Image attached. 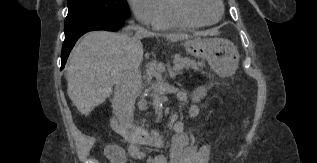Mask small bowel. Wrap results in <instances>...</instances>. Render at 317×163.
I'll return each mask as SVG.
<instances>
[{
    "label": "small bowel",
    "instance_id": "c3829d8e",
    "mask_svg": "<svg viewBox=\"0 0 317 163\" xmlns=\"http://www.w3.org/2000/svg\"><path fill=\"white\" fill-rule=\"evenodd\" d=\"M206 88H196L190 95L182 93L179 96L181 105L189 106V116L196 117L199 113L197 103L205 95ZM192 134L184 128L182 122L175 123V135L168 142L170 148V163H208L211 154L209 145L200 147L191 144ZM106 155L111 163H127L128 156L137 160H146V163H169L163 155L146 157L145 153L139 146H129L128 154L123 150L121 156L114 157L110 154L109 149Z\"/></svg>",
    "mask_w": 317,
    "mask_h": 163
}]
</instances>
